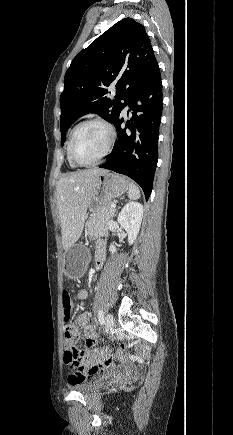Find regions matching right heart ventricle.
<instances>
[{"instance_id": "right-heart-ventricle-1", "label": "right heart ventricle", "mask_w": 233, "mask_h": 435, "mask_svg": "<svg viewBox=\"0 0 233 435\" xmlns=\"http://www.w3.org/2000/svg\"><path fill=\"white\" fill-rule=\"evenodd\" d=\"M67 161L70 167H75V165L72 163V161L70 160L69 156H68V152H67Z\"/></svg>"}]
</instances>
